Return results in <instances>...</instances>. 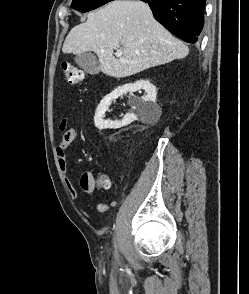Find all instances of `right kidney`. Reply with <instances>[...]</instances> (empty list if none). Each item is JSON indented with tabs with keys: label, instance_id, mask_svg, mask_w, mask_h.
Listing matches in <instances>:
<instances>
[{
	"label": "right kidney",
	"instance_id": "obj_1",
	"mask_svg": "<svg viewBox=\"0 0 249 294\" xmlns=\"http://www.w3.org/2000/svg\"><path fill=\"white\" fill-rule=\"evenodd\" d=\"M144 90L145 96L133 97L130 101L132 110L127 113L122 120H105V112L108 110L112 101L126 93H134ZM156 87L149 80H139L135 83H128L116 88L110 94L105 96L96 109L94 116L95 126L99 130L103 129H118L127 126L135 120L142 122H152L159 118L161 109L156 103Z\"/></svg>",
	"mask_w": 249,
	"mask_h": 294
}]
</instances>
